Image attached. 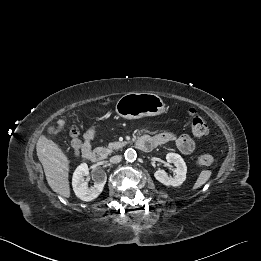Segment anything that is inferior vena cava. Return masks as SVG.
I'll return each instance as SVG.
<instances>
[{"mask_svg":"<svg viewBox=\"0 0 261 261\" xmlns=\"http://www.w3.org/2000/svg\"><path fill=\"white\" fill-rule=\"evenodd\" d=\"M122 159L121 155H115L113 157L110 158V162L111 163H119Z\"/></svg>","mask_w":261,"mask_h":261,"instance_id":"inferior-vena-cava-1","label":"inferior vena cava"}]
</instances>
